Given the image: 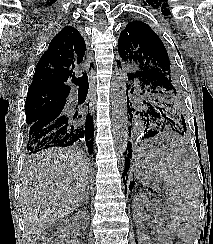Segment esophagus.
<instances>
[{
	"mask_svg": "<svg viewBox=\"0 0 213 244\" xmlns=\"http://www.w3.org/2000/svg\"><path fill=\"white\" fill-rule=\"evenodd\" d=\"M88 73L90 77V82L93 84L94 82V69H93V62H89V68H88Z\"/></svg>",
	"mask_w": 213,
	"mask_h": 244,
	"instance_id": "34e87169",
	"label": "esophagus"
}]
</instances>
